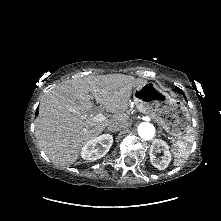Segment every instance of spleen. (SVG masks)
Returning <instances> with one entry per match:
<instances>
[{
	"label": "spleen",
	"instance_id": "spleen-1",
	"mask_svg": "<svg viewBox=\"0 0 221 221\" xmlns=\"http://www.w3.org/2000/svg\"><path fill=\"white\" fill-rule=\"evenodd\" d=\"M193 129L189 128L187 134L173 144L172 153L175 158L174 164L181 165L191 152L194 136L192 135Z\"/></svg>",
	"mask_w": 221,
	"mask_h": 221
}]
</instances>
